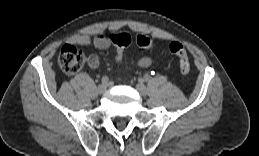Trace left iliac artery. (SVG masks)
I'll return each instance as SVG.
<instances>
[{"label":"left iliac artery","instance_id":"1","mask_svg":"<svg viewBox=\"0 0 259 156\" xmlns=\"http://www.w3.org/2000/svg\"><path fill=\"white\" fill-rule=\"evenodd\" d=\"M152 73H154V72H152ZM149 79H150V76H149L148 74H146V75L144 76V80H145V81H149Z\"/></svg>","mask_w":259,"mask_h":156}]
</instances>
